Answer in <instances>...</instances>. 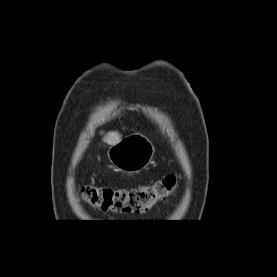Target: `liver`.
I'll return each mask as SVG.
<instances>
[{
    "instance_id": "6515ba94",
    "label": "liver",
    "mask_w": 277,
    "mask_h": 277,
    "mask_svg": "<svg viewBox=\"0 0 277 277\" xmlns=\"http://www.w3.org/2000/svg\"><path fill=\"white\" fill-rule=\"evenodd\" d=\"M103 141L111 146H114L121 141V135L115 131L109 132L104 136Z\"/></svg>"
}]
</instances>
